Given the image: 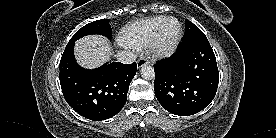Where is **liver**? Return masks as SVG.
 <instances>
[{
	"mask_svg": "<svg viewBox=\"0 0 276 138\" xmlns=\"http://www.w3.org/2000/svg\"><path fill=\"white\" fill-rule=\"evenodd\" d=\"M110 53V44L99 35L83 37L75 44L76 59L85 68L93 69L102 65L109 58Z\"/></svg>",
	"mask_w": 276,
	"mask_h": 138,
	"instance_id": "6515ba94",
	"label": "liver"
}]
</instances>
